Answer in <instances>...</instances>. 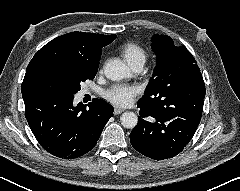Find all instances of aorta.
Here are the masks:
<instances>
[{"mask_svg": "<svg viewBox=\"0 0 240 191\" xmlns=\"http://www.w3.org/2000/svg\"><path fill=\"white\" fill-rule=\"evenodd\" d=\"M105 76L112 81H119L130 76V70L124 62L119 59H110L104 67ZM120 121L123 127L132 129L138 123V117L134 112H125Z\"/></svg>", "mask_w": 240, "mask_h": 191, "instance_id": "obj_1", "label": "aorta"}]
</instances>
